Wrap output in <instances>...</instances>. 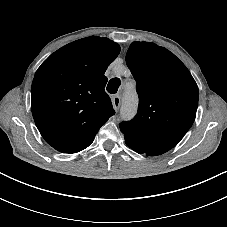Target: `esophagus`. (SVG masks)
<instances>
[{
    "label": "esophagus",
    "mask_w": 227,
    "mask_h": 227,
    "mask_svg": "<svg viewBox=\"0 0 227 227\" xmlns=\"http://www.w3.org/2000/svg\"><path fill=\"white\" fill-rule=\"evenodd\" d=\"M113 108L118 111L121 104V97L119 95L113 96L112 98Z\"/></svg>",
    "instance_id": "34e87169"
}]
</instances>
